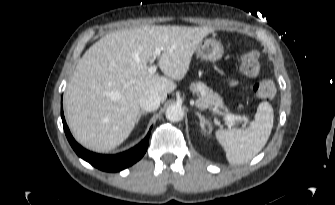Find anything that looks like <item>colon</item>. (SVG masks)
Listing matches in <instances>:
<instances>
[{
    "instance_id": "obj_1",
    "label": "colon",
    "mask_w": 335,
    "mask_h": 205,
    "mask_svg": "<svg viewBox=\"0 0 335 205\" xmlns=\"http://www.w3.org/2000/svg\"><path fill=\"white\" fill-rule=\"evenodd\" d=\"M239 66L245 75H256L260 70V54L258 51L252 50L241 56ZM253 93L259 99L270 100L276 96L277 90L271 79H262L253 86Z\"/></svg>"
}]
</instances>
